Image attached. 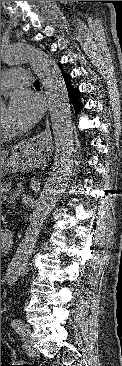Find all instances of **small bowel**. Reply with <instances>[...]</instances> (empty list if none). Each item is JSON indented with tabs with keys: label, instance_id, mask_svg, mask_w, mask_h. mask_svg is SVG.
<instances>
[{
	"label": "small bowel",
	"instance_id": "small-bowel-1",
	"mask_svg": "<svg viewBox=\"0 0 122 366\" xmlns=\"http://www.w3.org/2000/svg\"><path fill=\"white\" fill-rule=\"evenodd\" d=\"M18 275H19V270H17V268L9 267V269L6 271L4 280H2L1 282L10 281L11 279L15 278ZM10 353H11V350H10Z\"/></svg>",
	"mask_w": 122,
	"mask_h": 366
}]
</instances>
